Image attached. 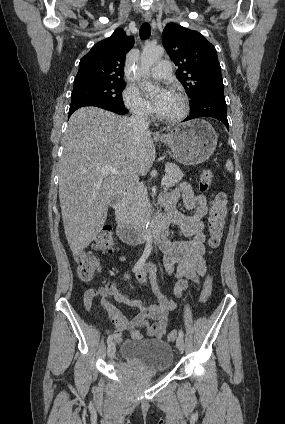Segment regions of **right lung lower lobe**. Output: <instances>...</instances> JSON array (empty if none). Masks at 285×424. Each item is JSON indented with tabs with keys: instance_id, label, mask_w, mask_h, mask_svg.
I'll return each mask as SVG.
<instances>
[{
	"instance_id": "1",
	"label": "right lung lower lobe",
	"mask_w": 285,
	"mask_h": 424,
	"mask_svg": "<svg viewBox=\"0 0 285 424\" xmlns=\"http://www.w3.org/2000/svg\"><path fill=\"white\" fill-rule=\"evenodd\" d=\"M85 106L99 107V108L109 110L120 115H124L128 113L125 107L117 106L109 102H104V101L96 100V99H75V100H71L69 116L78 108L85 107Z\"/></svg>"
}]
</instances>
